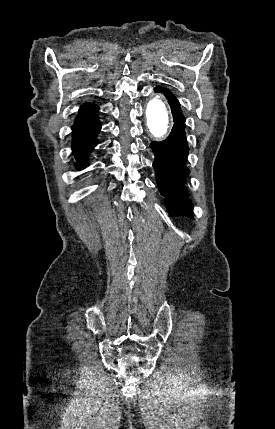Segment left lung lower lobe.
Masks as SVG:
<instances>
[{"label": "left lung lower lobe", "mask_w": 275, "mask_h": 429, "mask_svg": "<svg viewBox=\"0 0 275 429\" xmlns=\"http://www.w3.org/2000/svg\"><path fill=\"white\" fill-rule=\"evenodd\" d=\"M155 92H162L170 104L174 125L169 137L163 142H152L150 147L155 153L153 167L161 195L165 198L170 216L193 218L192 203L184 188L189 169L185 166L188 145L185 136V118L176 97L167 89L157 87Z\"/></svg>", "instance_id": "left-lung-lower-lobe-1"}]
</instances>
